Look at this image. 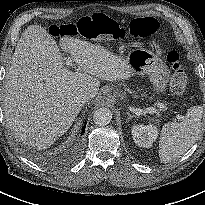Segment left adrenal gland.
<instances>
[{
    "instance_id": "a2214340",
    "label": "left adrenal gland",
    "mask_w": 205,
    "mask_h": 205,
    "mask_svg": "<svg viewBox=\"0 0 205 205\" xmlns=\"http://www.w3.org/2000/svg\"><path fill=\"white\" fill-rule=\"evenodd\" d=\"M127 115H128V120H131L132 118L136 117L135 115H132L129 112H127Z\"/></svg>"
}]
</instances>
